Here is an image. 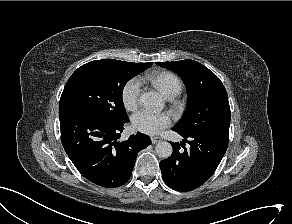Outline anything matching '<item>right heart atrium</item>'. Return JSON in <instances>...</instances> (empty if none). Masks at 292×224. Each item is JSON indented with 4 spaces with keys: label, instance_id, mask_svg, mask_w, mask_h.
<instances>
[{
    "label": "right heart atrium",
    "instance_id": "obj_1",
    "mask_svg": "<svg viewBox=\"0 0 292 224\" xmlns=\"http://www.w3.org/2000/svg\"><path fill=\"white\" fill-rule=\"evenodd\" d=\"M141 92L140 81L136 78L130 79L122 88L121 98L127 110H134L139 103Z\"/></svg>",
    "mask_w": 292,
    "mask_h": 224
}]
</instances>
